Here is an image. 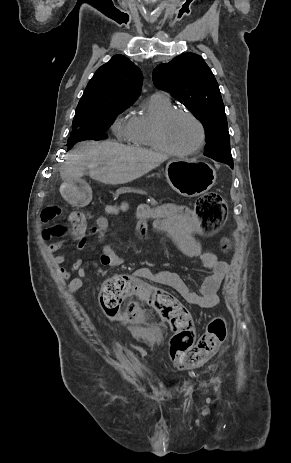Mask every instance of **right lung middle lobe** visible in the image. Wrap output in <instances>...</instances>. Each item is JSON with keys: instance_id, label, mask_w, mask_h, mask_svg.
Here are the masks:
<instances>
[{"instance_id": "right-lung-middle-lobe-1", "label": "right lung middle lobe", "mask_w": 291, "mask_h": 463, "mask_svg": "<svg viewBox=\"0 0 291 463\" xmlns=\"http://www.w3.org/2000/svg\"><path fill=\"white\" fill-rule=\"evenodd\" d=\"M132 104L107 102L98 108L75 114L72 132L68 139L71 148L77 142L85 140H102L107 138L106 131L114 119Z\"/></svg>"}]
</instances>
